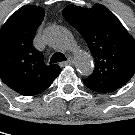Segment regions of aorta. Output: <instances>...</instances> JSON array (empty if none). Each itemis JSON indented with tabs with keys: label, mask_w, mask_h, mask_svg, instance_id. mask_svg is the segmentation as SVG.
<instances>
[{
	"label": "aorta",
	"mask_w": 135,
	"mask_h": 135,
	"mask_svg": "<svg viewBox=\"0 0 135 135\" xmlns=\"http://www.w3.org/2000/svg\"><path fill=\"white\" fill-rule=\"evenodd\" d=\"M45 38L48 44L59 51H71L74 57V64L82 75H89L93 71L91 56L75 48L73 36L65 27L54 25L47 29Z\"/></svg>",
	"instance_id": "aorta-1"
}]
</instances>
